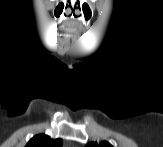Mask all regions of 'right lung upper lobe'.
Returning <instances> with one entry per match:
<instances>
[{"label":"right lung upper lobe","mask_w":163,"mask_h":147,"mask_svg":"<svg viewBox=\"0 0 163 147\" xmlns=\"http://www.w3.org/2000/svg\"><path fill=\"white\" fill-rule=\"evenodd\" d=\"M61 145V139H51L45 134H39L30 139L26 147H60Z\"/></svg>","instance_id":"cb5924a9"}]
</instances>
